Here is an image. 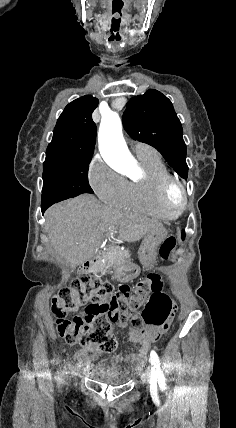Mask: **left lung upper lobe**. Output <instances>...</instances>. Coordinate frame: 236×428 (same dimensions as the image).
<instances>
[{
	"label": "left lung upper lobe",
	"mask_w": 236,
	"mask_h": 428,
	"mask_svg": "<svg viewBox=\"0 0 236 428\" xmlns=\"http://www.w3.org/2000/svg\"><path fill=\"white\" fill-rule=\"evenodd\" d=\"M122 120L131 138L156 148L168 164L187 179L183 130L167 97L154 89L133 97L126 105Z\"/></svg>",
	"instance_id": "5c2ea615"
}]
</instances>
